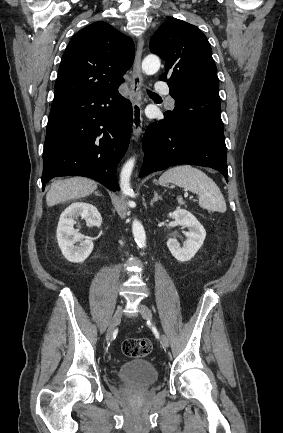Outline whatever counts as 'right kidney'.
<instances>
[{
	"label": "right kidney",
	"mask_w": 283,
	"mask_h": 433,
	"mask_svg": "<svg viewBox=\"0 0 283 433\" xmlns=\"http://www.w3.org/2000/svg\"><path fill=\"white\" fill-rule=\"evenodd\" d=\"M86 220L87 226L99 227L102 217L92 204L76 202L69 205L60 215L57 241L63 256L70 262H84L93 250V242L74 229L75 219ZM80 243L76 245V243Z\"/></svg>",
	"instance_id": "1"
}]
</instances>
